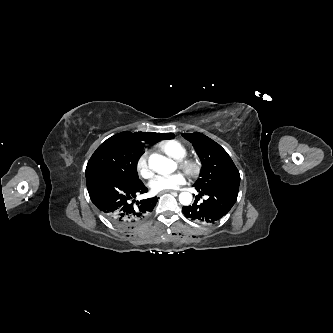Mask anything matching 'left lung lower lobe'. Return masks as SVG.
I'll return each instance as SVG.
<instances>
[{
	"mask_svg": "<svg viewBox=\"0 0 333 333\" xmlns=\"http://www.w3.org/2000/svg\"><path fill=\"white\" fill-rule=\"evenodd\" d=\"M239 187L217 188L212 190H198L201 195H207L208 199L202 203L196 201L190 206H184L182 211L187 218L200 223H214L225 216L235 204L238 196ZM228 195V202L220 204L218 199Z\"/></svg>",
	"mask_w": 333,
	"mask_h": 333,
	"instance_id": "1",
	"label": "left lung lower lobe"
}]
</instances>
